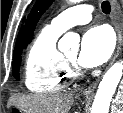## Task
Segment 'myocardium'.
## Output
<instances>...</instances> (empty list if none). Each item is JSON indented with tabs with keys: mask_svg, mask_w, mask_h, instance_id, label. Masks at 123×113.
<instances>
[{
	"mask_svg": "<svg viewBox=\"0 0 123 113\" xmlns=\"http://www.w3.org/2000/svg\"><path fill=\"white\" fill-rule=\"evenodd\" d=\"M65 60H66V63L69 67L70 74L73 75V76H77L79 74V71L76 67L74 59H71L70 57L65 56Z\"/></svg>",
	"mask_w": 123,
	"mask_h": 113,
	"instance_id": "1",
	"label": "myocardium"
}]
</instances>
